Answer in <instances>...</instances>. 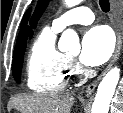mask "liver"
Masks as SVG:
<instances>
[{
    "label": "liver",
    "instance_id": "1",
    "mask_svg": "<svg viewBox=\"0 0 123 113\" xmlns=\"http://www.w3.org/2000/svg\"><path fill=\"white\" fill-rule=\"evenodd\" d=\"M74 103L71 93L16 96L11 106L21 113H70Z\"/></svg>",
    "mask_w": 123,
    "mask_h": 113
}]
</instances>
